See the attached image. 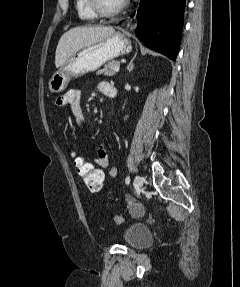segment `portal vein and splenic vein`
Masks as SVG:
<instances>
[{"mask_svg":"<svg viewBox=\"0 0 240 287\" xmlns=\"http://www.w3.org/2000/svg\"><path fill=\"white\" fill-rule=\"evenodd\" d=\"M119 69H120L119 66H116V67L114 68V71H115V72H119Z\"/></svg>","mask_w":240,"mask_h":287,"instance_id":"18ae733b","label":"portal vein and splenic vein"}]
</instances>
